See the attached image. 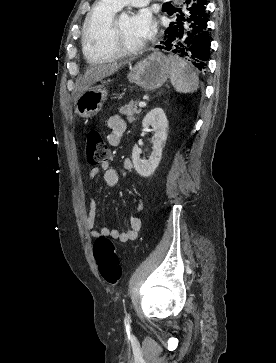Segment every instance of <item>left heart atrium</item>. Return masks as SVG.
I'll use <instances>...</instances> for the list:
<instances>
[{"mask_svg": "<svg viewBox=\"0 0 276 363\" xmlns=\"http://www.w3.org/2000/svg\"><path fill=\"white\" fill-rule=\"evenodd\" d=\"M134 22L145 40L150 39L155 34L157 24L150 12L140 11L134 16Z\"/></svg>", "mask_w": 276, "mask_h": 363, "instance_id": "39dd6f15", "label": "left heart atrium"}]
</instances>
